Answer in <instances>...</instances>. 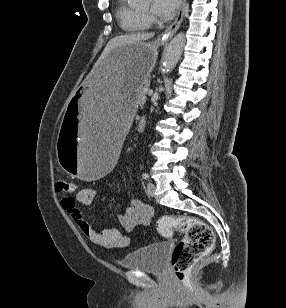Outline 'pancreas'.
<instances>
[{"label": "pancreas", "mask_w": 286, "mask_h": 308, "mask_svg": "<svg viewBox=\"0 0 286 308\" xmlns=\"http://www.w3.org/2000/svg\"><path fill=\"white\" fill-rule=\"evenodd\" d=\"M148 81H145L143 84H141L137 89V98H138V104L142 105L146 101V93L148 90Z\"/></svg>", "instance_id": "pancreas-1"}]
</instances>
